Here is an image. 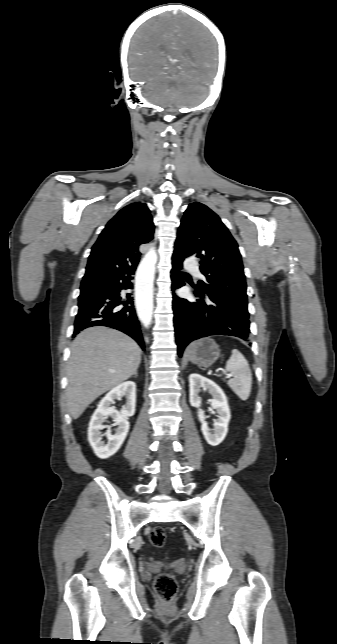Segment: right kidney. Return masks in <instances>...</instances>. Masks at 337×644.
Returning <instances> with one entry per match:
<instances>
[{
    "label": "right kidney",
    "instance_id": "1",
    "mask_svg": "<svg viewBox=\"0 0 337 644\" xmlns=\"http://www.w3.org/2000/svg\"><path fill=\"white\" fill-rule=\"evenodd\" d=\"M125 396L127 399L126 404L122 407L121 411H117L114 406L115 399H121ZM136 406V384L132 381H127L119 384L117 387L109 391L106 396L100 401L97 409L93 413L89 427H88V441L93 448L94 453L101 459H106L114 455L123 444L130 424L127 417L133 416ZM111 417L118 426L115 429V434H111L109 426L103 425V422ZM107 428L105 433L108 442L102 441L101 430Z\"/></svg>",
    "mask_w": 337,
    "mask_h": 644
}]
</instances>
